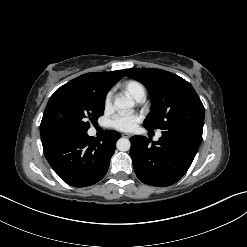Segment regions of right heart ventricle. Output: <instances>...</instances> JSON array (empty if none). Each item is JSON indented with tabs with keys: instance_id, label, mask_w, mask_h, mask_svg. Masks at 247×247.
I'll return each instance as SVG.
<instances>
[{
	"instance_id": "obj_1",
	"label": "right heart ventricle",
	"mask_w": 247,
	"mask_h": 247,
	"mask_svg": "<svg viewBox=\"0 0 247 247\" xmlns=\"http://www.w3.org/2000/svg\"><path fill=\"white\" fill-rule=\"evenodd\" d=\"M123 88L125 92L134 99H136L140 94L145 93L143 85L135 80L125 82Z\"/></svg>"
}]
</instances>
